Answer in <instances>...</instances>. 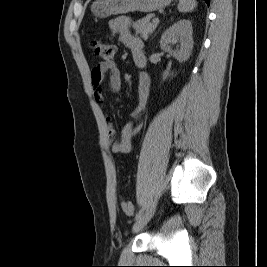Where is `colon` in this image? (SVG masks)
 Masks as SVG:
<instances>
[{"mask_svg":"<svg viewBox=\"0 0 267 267\" xmlns=\"http://www.w3.org/2000/svg\"><path fill=\"white\" fill-rule=\"evenodd\" d=\"M90 46H91L92 50L94 51V53L106 63L112 62V60L115 57L116 47H115V45H113L111 43L97 40V39H93L90 42ZM121 207H122L123 212L126 215H128V216L133 215L134 207H133V204L131 202L122 201Z\"/></svg>","mask_w":267,"mask_h":267,"instance_id":"obj_1","label":"colon"}]
</instances>
